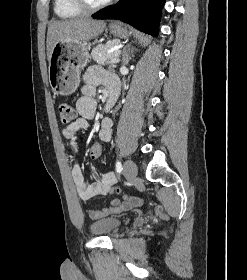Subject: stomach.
<instances>
[{
	"mask_svg": "<svg viewBox=\"0 0 247 280\" xmlns=\"http://www.w3.org/2000/svg\"><path fill=\"white\" fill-rule=\"evenodd\" d=\"M109 31L115 37L128 36V31L120 23L110 25ZM89 59L90 55L84 42H57L49 61V83L52 90L61 95L75 92L80 84L81 70Z\"/></svg>",
	"mask_w": 247,
	"mask_h": 280,
	"instance_id": "obj_1",
	"label": "stomach"
}]
</instances>
